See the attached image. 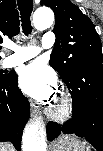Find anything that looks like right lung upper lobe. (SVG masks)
<instances>
[{"label": "right lung upper lobe", "instance_id": "right-lung-upper-lobe-1", "mask_svg": "<svg viewBox=\"0 0 103 151\" xmlns=\"http://www.w3.org/2000/svg\"><path fill=\"white\" fill-rule=\"evenodd\" d=\"M18 33L19 18L14 0H0V43L3 38H12Z\"/></svg>", "mask_w": 103, "mask_h": 151}]
</instances>
